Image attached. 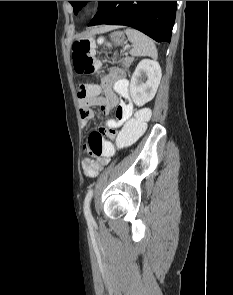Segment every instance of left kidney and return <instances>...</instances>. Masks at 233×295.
Masks as SVG:
<instances>
[{
	"mask_svg": "<svg viewBox=\"0 0 233 295\" xmlns=\"http://www.w3.org/2000/svg\"><path fill=\"white\" fill-rule=\"evenodd\" d=\"M142 75L145 79H142ZM161 77L162 71L157 61L143 59L139 62L130 82V96L136 106L141 107L154 98Z\"/></svg>",
	"mask_w": 233,
	"mask_h": 295,
	"instance_id": "obj_1",
	"label": "left kidney"
}]
</instances>
